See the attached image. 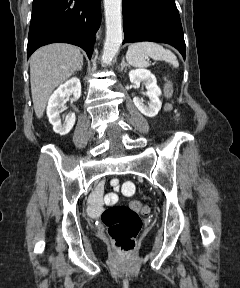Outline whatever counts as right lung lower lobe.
<instances>
[{
	"mask_svg": "<svg viewBox=\"0 0 240 288\" xmlns=\"http://www.w3.org/2000/svg\"><path fill=\"white\" fill-rule=\"evenodd\" d=\"M100 22V0H33L27 55L65 42L81 47L90 59Z\"/></svg>",
	"mask_w": 240,
	"mask_h": 288,
	"instance_id": "right-lung-lower-lobe-1",
	"label": "right lung lower lobe"
}]
</instances>
